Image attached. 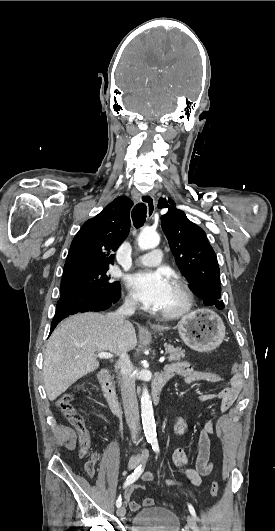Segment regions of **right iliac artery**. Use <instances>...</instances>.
<instances>
[{"instance_id":"obj_1","label":"right iliac artery","mask_w":275,"mask_h":531,"mask_svg":"<svg viewBox=\"0 0 275 531\" xmlns=\"http://www.w3.org/2000/svg\"><path fill=\"white\" fill-rule=\"evenodd\" d=\"M144 470V465L141 464L139 465L135 470L134 472L129 475L124 483V487L132 484L133 482H135L139 477L140 475L142 474ZM122 504V501H121V496L118 497L117 501H116V506L119 508Z\"/></svg>"}]
</instances>
